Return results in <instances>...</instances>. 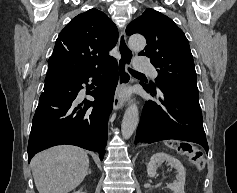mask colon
Returning <instances> with one entry per match:
<instances>
[{
    "label": "colon",
    "instance_id": "1",
    "mask_svg": "<svg viewBox=\"0 0 237 193\" xmlns=\"http://www.w3.org/2000/svg\"><path fill=\"white\" fill-rule=\"evenodd\" d=\"M178 149L182 153L186 154L199 170L204 169L205 156L201 150H199L189 144H182L178 147Z\"/></svg>",
    "mask_w": 237,
    "mask_h": 193
}]
</instances>
